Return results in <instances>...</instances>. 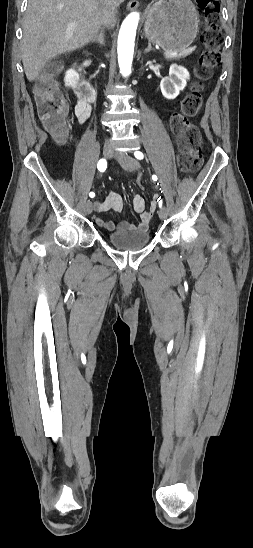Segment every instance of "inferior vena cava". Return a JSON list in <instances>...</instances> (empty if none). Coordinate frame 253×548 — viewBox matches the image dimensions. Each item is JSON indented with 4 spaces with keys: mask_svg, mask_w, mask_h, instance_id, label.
I'll list each match as a JSON object with an SVG mask.
<instances>
[{
    "mask_svg": "<svg viewBox=\"0 0 253 548\" xmlns=\"http://www.w3.org/2000/svg\"><path fill=\"white\" fill-rule=\"evenodd\" d=\"M122 2H124V0H104V10L102 18V26L104 28H112L114 26L117 8Z\"/></svg>",
    "mask_w": 253,
    "mask_h": 548,
    "instance_id": "602c4592",
    "label": "inferior vena cava"
}]
</instances>
